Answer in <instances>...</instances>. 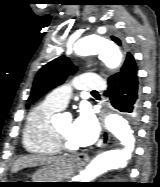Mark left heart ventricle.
<instances>
[{
  "mask_svg": "<svg viewBox=\"0 0 160 187\" xmlns=\"http://www.w3.org/2000/svg\"><path fill=\"white\" fill-rule=\"evenodd\" d=\"M57 127L59 128L60 132L65 136L66 141L71 145L73 148H79V145L74 141L72 136V122L71 120H63L57 123Z\"/></svg>",
  "mask_w": 160,
  "mask_h": 187,
  "instance_id": "obj_1",
  "label": "left heart ventricle"
}]
</instances>
